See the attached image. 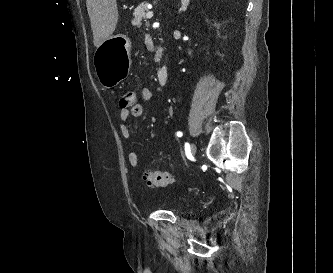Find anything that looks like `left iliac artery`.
<instances>
[{
  "label": "left iliac artery",
  "instance_id": "left-iliac-artery-1",
  "mask_svg": "<svg viewBox=\"0 0 333 273\" xmlns=\"http://www.w3.org/2000/svg\"><path fill=\"white\" fill-rule=\"evenodd\" d=\"M176 135H177L178 137H181V136L183 135V133L180 132V131H178V132L176 133Z\"/></svg>",
  "mask_w": 333,
  "mask_h": 273
}]
</instances>
